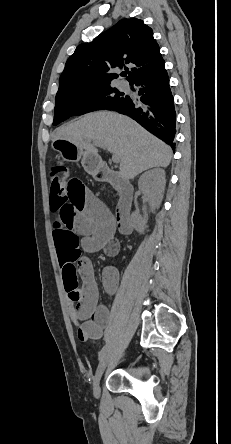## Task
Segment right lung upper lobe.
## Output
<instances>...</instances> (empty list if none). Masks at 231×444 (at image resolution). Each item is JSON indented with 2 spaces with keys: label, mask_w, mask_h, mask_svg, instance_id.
Returning a JSON list of instances; mask_svg holds the SVG:
<instances>
[{
  "label": "right lung upper lobe",
  "mask_w": 231,
  "mask_h": 444,
  "mask_svg": "<svg viewBox=\"0 0 231 444\" xmlns=\"http://www.w3.org/2000/svg\"><path fill=\"white\" fill-rule=\"evenodd\" d=\"M126 64L131 66L129 82L165 64L152 29L137 18L122 19L91 43L80 44L66 62L57 95L108 85L118 77L110 73V69L123 68Z\"/></svg>",
  "instance_id": "obj_1"
}]
</instances>
